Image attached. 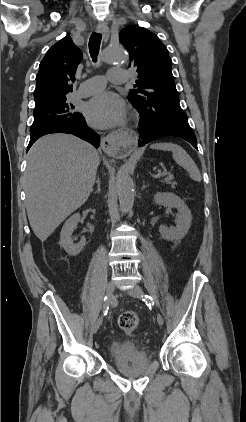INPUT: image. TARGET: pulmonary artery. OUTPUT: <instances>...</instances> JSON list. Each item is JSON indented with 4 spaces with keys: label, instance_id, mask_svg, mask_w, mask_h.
Listing matches in <instances>:
<instances>
[{
    "label": "pulmonary artery",
    "instance_id": "obj_1",
    "mask_svg": "<svg viewBox=\"0 0 246 422\" xmlns=\"http://www.w3.org/2000/svg\"><path fill=\"white\" fill-rule=\"evenodd\" d=\"M127 71L121 68H113L108 73L109 81L122 84L127 81ZM106 84V78L103 76H94L84 81L76 92V96L83 98L96 94L103 90Z\"/></svg>",
    "mask_w": 246,
    "mask_h": 422
}]
</instances>
